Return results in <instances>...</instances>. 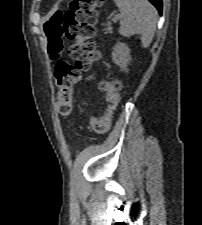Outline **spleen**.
Masks as SVG:
<instances>
[{
  "label": "spleen",
  "mask_w": 202,
  "mask_h": 225,
  "mask_svg": "<svg viewBox=\"0 0 202 225\" xmlns=\"http://www.w3.org/2000/svg\"><path fill=\"white\" fill-rule=\"evenodd\" d=\"M114 1L121 12L119 33L125 37L140 34L142 46L148 47L156 31V9L148 0Z\"/></svg>",
  "instance_id": "3e777b00"
}]
</instances>
